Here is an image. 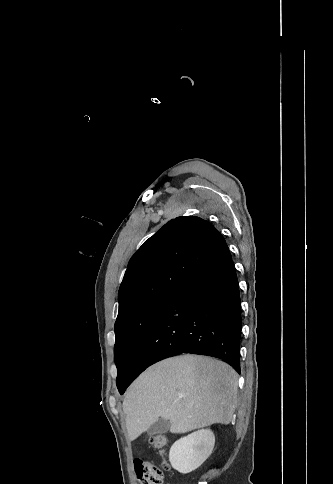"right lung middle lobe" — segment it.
I'll return each instance as SVG.
<instances>
[{"mask_svg": "<svg viewBox=\"0 0 333 484\" xmlns=\"http://www.w3.org/2000/svg\"><path fill=\"white\" fill-rule=\"evenodd\" d=\"M176 290L165 291L134 306L115 322V364L118 374L116 385L124 390L128 382L131 364L143 338L153 325L167 301Z\"/></svg>", "mask_w": 333, "mask_h": 484, "instance_id": "right-lung-middle-lobe-1", "label": "right lung middle lobe"}]
</instances>
